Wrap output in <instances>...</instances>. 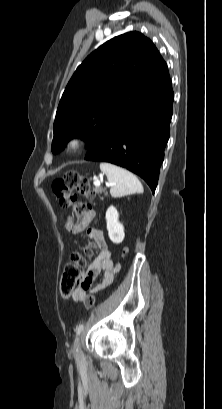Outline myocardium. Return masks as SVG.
Wrapping results in <instances>:
<instances>
[{
  "label": "myocardium",
  "mask_w": 222,
  "mask_h": 409,
  "mask_svg": "<svg viewBox=\"0 0 222 409\" xmlns=\"http://www.w3.org/2000/svg\"><path fill=\"white\" fill-rule=\"evenodd\" d=\"M87 142L88 139L84 134L75 133L67 139L65 143V150L69 153H78L85 148Z\"/></svg>",
  "instance_id": "myocardium-1"
}]
</instances>
